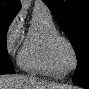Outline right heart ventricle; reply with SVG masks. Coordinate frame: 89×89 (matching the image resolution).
<instances>
[{"mask_svg": "<svg viewBox=\"0 0 89 89\" xmlns=\"http://www.w3.org/2000/svg\"><path fill=\"white\" fill-rule=\"evenodd\" d=\"M57 33L51 15L35 12L18 54L19 66L29 73L63 77L65 72L57 65L50 44Z\"/></svg>", "mask_w": 89, "mask_h": 89, "instance_id": "1", "label": "right heart ventricle"}]
</instances>
